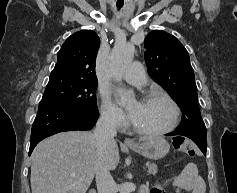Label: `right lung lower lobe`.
Segmentation results:
<instances>
[{
	"label": "right lung lower lobe",
	"mask_w": 237,
	"mask_h": 193,
	"mask_svg": "<svg viewBox=\"0 0 237 193\" xmlns=\"http://www.w3.org/2000/svg\"><path fill=\"white\" fill-rule=\"evenodd\" d=\"M98 117V112L88 113L58 104L40 103L32 126L29 155L44 138L63 131L89 130Z\"/></svg>",
	"instance_id": "98d812e1"
}]
</instances>
